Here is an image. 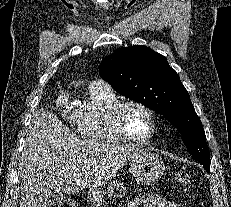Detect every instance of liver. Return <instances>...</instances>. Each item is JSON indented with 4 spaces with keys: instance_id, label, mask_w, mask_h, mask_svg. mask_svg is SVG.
Here are the masks:
<instances>
[{
    "instance_id": "liver-1",
    "label": "liver",
    "mask_w": 231,
    "mask_h": 207,
    "mask_svg": "<svg viewBox=\"0 0 231 207\" xmlns=\"http://www.w3.org/2000/svg\"><path fill=\"white\" fill-rule=\"evenodd\" d=\"M18 174L20 207H46L54 192L94 190L114 178L140 149L117 142L80 139L51 112L34 113Z\"/></svg>"
}]
</instances>
